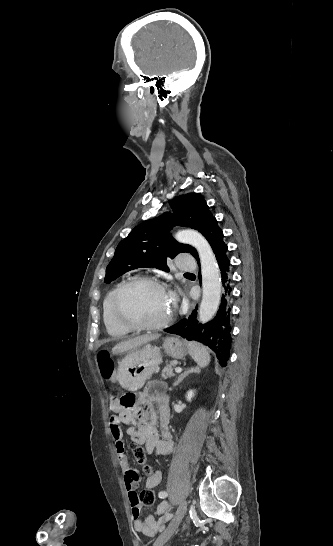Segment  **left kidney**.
Returning a JSON list of instances; mask_svg holds the SVG:
<instances>
[{"label":"left kidney","instance_id":"1","mask_svg":"<svg viewBox=\"0 0 333 546\" xmlns=\"http://www.w3.org/2000/svg\"><path fill=\"white\" fill-rule=\"evenodd\" d=\"M193 396H194V392H193L192 390H190V391L187 393L186 398H187L188 401H191V399L193 398Z\"/></svg>","mask_w":333,"mask_h":546}]
</instances>
